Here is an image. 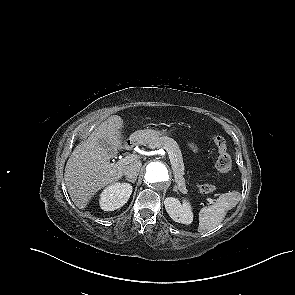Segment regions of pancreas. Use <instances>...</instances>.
<instances>
[{
    "instance_id": "1",
    "label": "pancreas",
    "mask_w": 295,
    "mask_h": 295,
    "mask_svg": "<svg viewBox=\"0 0 295 295\" xmlns=\"http://www.w3.org/2000/svg\"><path fill=\"white\" fill-rule=\"evenodd\" d=\"M148 146L151 149L163 147V148H167L172 151L173 156H174V162L172 165L174 179H175V182L177 184V188L179 189V191L186 194L187 189H186L185 179L183 177L184 163H183L182 154H181V151L179 149L177 142L172 138H169L167 136H163V137H160V138L148 143Z\"/></svg>"
}]
</instances>
